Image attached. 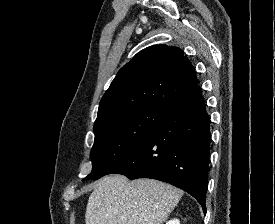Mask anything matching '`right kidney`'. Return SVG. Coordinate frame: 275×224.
<instances>
[{
  "instance_id": "1",
  "label": "right kidney",
  "mask_w": 275,
  "mask_h": 224,
  "mask_svg": "<svg viewBox=\"0 0 275 224\" xmlns=\"http://www.w3.org/2000/svg\"><path fill=\"white\" fill-rule=\"evenodd\" d=\"M166 224H180V221L178 219H172V220L166 222Z\"/></svg>"
}]
</instances>
